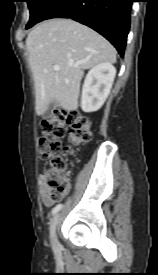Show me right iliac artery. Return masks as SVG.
<instances>
[{"mask_svg": "<svg viewBox=\"0 0 158 275\" xmlns=\"http://www.w3.org/2000/svg\"><path fill=\"white\" fill-rule=\"evenodd\" d=\"M61 208H62V204L56 205V206L52 209L51 215H52V216L55 215Z\"/></svg>", "mask_w": 158, "mask_h": 275, "instance_id": "82829eb1", "label": "right iliac artery"}]
</instances>
